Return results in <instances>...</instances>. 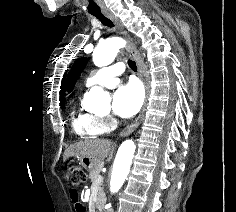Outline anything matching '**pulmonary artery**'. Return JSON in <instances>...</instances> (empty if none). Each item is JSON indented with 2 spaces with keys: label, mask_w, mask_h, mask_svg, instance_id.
Segmentation results:
<instances>
[{
  "label": "pulmonary artery",
  "mask_w": 236,
  "mask_h": 212,
  "mask_svg": "<svg viewBox=\"0 0 236 212\" xmlns=\"http://www.w3.org/2000/svg\"><path fill=\"white\" fill-rule=\"evenodd\" d=\"M124 71V66L120 63L103 67L87 78L85 85H103L109 88L114 87L119 79L118 76Z\"/></svg>",
  "instance_id": "1"
}]
</instances>
